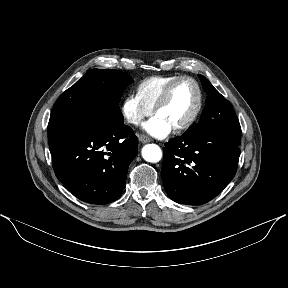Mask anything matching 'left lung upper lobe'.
I'll list each match as a JSON object with an SVG mask.
<instances>
[{
	"mask_svg": "<svg viewBox=\"0 0 288 288\" xmlns=\"http://www.w3.org/2000/svg\"><path fill=\"white\" fill-rule=\"evenodd\" d=\"M198 76L208 95L206 105L199 122L191 125L185 133L193 134L205 130L231 139L240 145L241 127L231 104L224 99L207 78L202 75Z\"/></svg>",
	"mask_w": 288,
	"mask_h": 288,
	"instance_id": "left-lung-upper-lobe-1",
	"label": "left lung upper lobe"
}]
</instances>
